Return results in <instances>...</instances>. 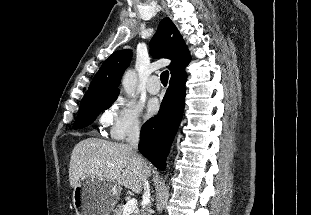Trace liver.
<instances>
[{
    "instance_id": "6515ba94",
    "label": "liver",
    "mask_w": 311,
    "mask_h": 215,
    "mask_svg": "<svg viewBox=\"0 0 311 215\" xmlns=\"http://www.w3.org/2000/svg\"><path fill=\"white\" fill-rule=\"evenodd\" d=\"M138 157L142 163L138 162ZM151 175V166L127 144L87 138L75 145L70 159L69 181L75 188L87 176L104 179L139 194Z\"/></svg>"
}]
</instances>
